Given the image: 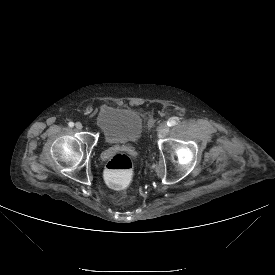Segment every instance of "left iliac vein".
<instances>
[{
	"instance_id": "left-iliac-vein-1",
	"label": "left iliac vein",
	"mask_w": 275,
	"mask_h": 275,
	"mask_svg": "<svg viewBox=\"0 0 275 275\" xmlns=\"http://www.w3.org/2000/svg\"><path fill=\"white\" fill-rule=\"evenodd\" d=\"M168 131H169V127L165 123L160 124L157 128V134L160 138L165 137L167 135Z\"/></svg>"
}]
</instances>
